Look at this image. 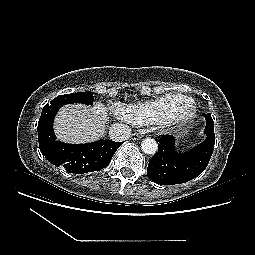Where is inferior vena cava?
Wrapping results in <instances>:
<instances>
[{
    "instance_id": "602c4592",
    "label": "inferior vena cava",
    "mask_w": 255,
    "mask_h": 255,
    "mask_svg": "<svg viewBox=\"0 0 255 255\" xmlns=\"http://www.w3.org/2000/svg\"><path fill=\"white\" fill-rule=\"evenodd\" d=\"M131 135V128L125 124L115 123L110 126L109 137L116 142L127 140Z\"/></svg>"
}]
</instances>
